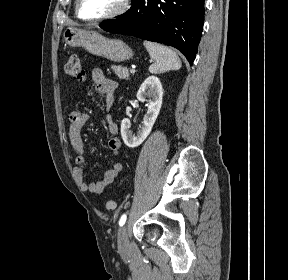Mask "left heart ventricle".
Listing matches in <instances>:
<instances>
[{
  "label": "left heart ventricle",
  "mask_w": 288,
  "mask_h": 280,
  "mask_svg": "<svg viewBox=\"0 0 288 280\" xmlns=\"http://www.w3.org/2000/svg\"><path fill=\"white\" fill-rule=\"evenodd\" d=\"M122 0H81L80 13L85 18L107 15L121 5Z\"/></svg>",
  "instance_id": "b2bd125f"
}]
</instances>
